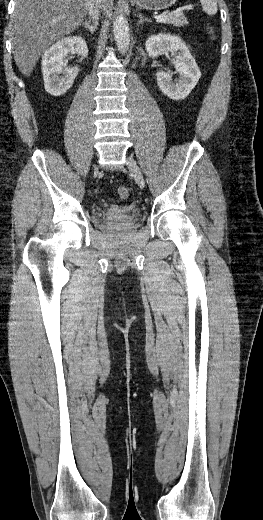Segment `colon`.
<instances>
[{"label": "colon", "mask_w": 263, "mask_h": 520, "mask_svg": "<svg viewBox=\"0 0 263 520\" xmlns=\"http://www.w3.org/2000/svg\"><path fill=\"white\" fill-rule=\"evenodd\" d=\"M129 195V190L127 187L125 186H120L118 189H117V196L120 200H125L127 199Z\"/></svg>", "instance_id": "5ec220e1"}]
</instances>
